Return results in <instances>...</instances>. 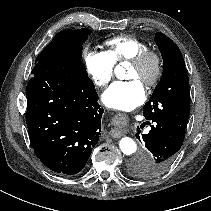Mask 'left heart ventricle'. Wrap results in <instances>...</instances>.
<instances>
[{"label":"left heart ventricle","mask_w":211,"mask_h":211,"mask_svg":"<svg viewBox=\"0 0 211 211\" xmlns=\"http://www.w3.org/2000/svg\"><path fill=\"white\" fill-rule=\"evenodd\" d=\"M152 73V63H147L144 67L139 68L134 66L133 64H130L129 67V78H136L140 81H143L146 77H148Z\"/></svg>","instance_id":"1"}]
</instances>
